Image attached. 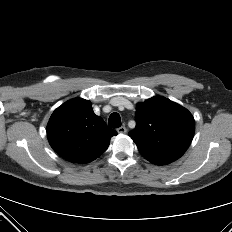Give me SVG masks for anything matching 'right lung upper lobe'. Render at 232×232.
Here are the masks:
<instances>
[{
	"mask_svg": "<svg viewBox=\"0 0 232 232\" xmlns=\"http://www.w3.org/2000/svg\"><path fill=\"white\" fill-rule=\"evenodd\" d=\"M117 132L92 110L91 103L71 99L52 114L47 125L51 147L67 161L85 164L95 160L108 148Z\"/></svg>",
	"mask_w": 232,
	"mask_h": 232,
	"instance_id": "obj_1",
	"label": "right lung upper lobe"
}]
</instances>
